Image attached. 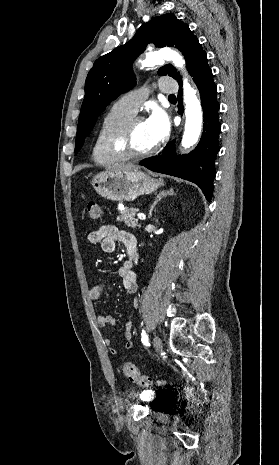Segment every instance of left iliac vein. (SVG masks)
I'll list each match as a JSON object with an SVG mask.
<instances>
[{
    "label": "left iliac vein",
    "mask_w": 279,
    "mask_h": 465,
    "mask_svg": "<svg viewBox=\"0 0 279 465\" xmlns=\"http://www.w3.org/2000/svg\"><path fill=\"white\" fill-rule=\"evenodd\" d=\"M153 346L156 352L162 351V348H163L162 340L158 336L154 337Z\"/></svg>",
    "instance_id": "left-iliac-vein-1"
}]
</instances>
